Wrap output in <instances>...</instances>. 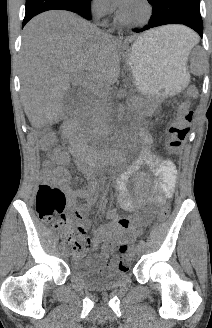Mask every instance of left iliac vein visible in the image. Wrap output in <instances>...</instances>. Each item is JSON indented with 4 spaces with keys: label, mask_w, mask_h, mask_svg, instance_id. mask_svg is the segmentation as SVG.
<instances>
[{
    "label": "left iliac vein",
    "mask_w": 212,
    "mask_h": 328,
    "mask_svg": "<svg viewBox=\"0 0 212 328\" xmlns=\"http://www.w3.org/2000/svg\"><path fill=\"white\" fill-rule=\"evenodd\" d=\"M143 250H144V248H143V246L142 245H137L136 246V248H135V253H136V255L137 256H140L142 253H143Z\"/></svg>",
    "instance_id": "1"
}]
</instances>
